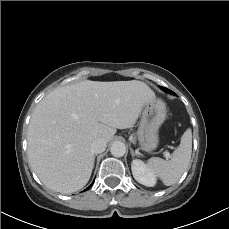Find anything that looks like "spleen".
<instances>
[{
	"label": "spleen",
	"mask_w": 229,
	"mask_h": 229,
	"mask_svg": "<svg viewBox=\"0 0 229 229\" xmlns=\"http://www.w3.org/2000/svg\"><path fill=\"white\" fill-rule=\"evenodd\" d=\"M192 153V132L190 129L184 132L179 147L173 152L170 160L158 157L149 159L148 168L158 176L166 186L179 181L186 171Z\"/></svg>",
	"instance_id": "1"
}]
</instances>
